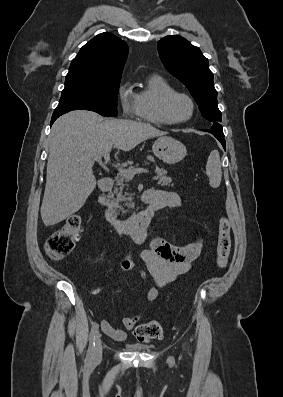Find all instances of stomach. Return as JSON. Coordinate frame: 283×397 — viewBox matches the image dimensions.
Returning a JSON list of instances; mask_svg holds the SVG:
<instances>
[{
  "label": "stomach",
  "mask_w": 283,
  "mask_h": 397,
  "mask_svg": "<svg viewBox=\"0 0 283 397\" xmlns=\"http://www.w3.org/2000/svg\"><path fill=\"white\" fill-rule=\"evenodd\" d=\"M152 151L156 157L169 165L180 162L187 153L184 144L169 136L158 138L152 146Z\"/></svg>",
  "instance_id": "1"
}]
</instances>
